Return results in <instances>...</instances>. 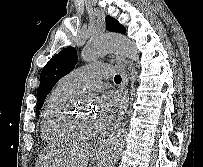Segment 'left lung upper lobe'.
I'll return each instance as SVG.
<instances>
[{
  "instance_id": "1",
  "label": "left lung upper lobe",
  "mask_w": 203,
  "mask_h": 167,
  "mask_svg": "<svg viewBox=\"0 0 203 167\" xmlns=\"http://www.w3.org/2000/svg\"><path fill=\"white\" fill-rule=\"evenodd\" d=\"M106 29L113 32L125 33L126 29L114 18L106 17ZM77 63V52L74 48H65L55 55L42 69L40 85L37 89V115L42 108L46 96L60 78L70 73Z\"/></svg>"
}]
</instances>
